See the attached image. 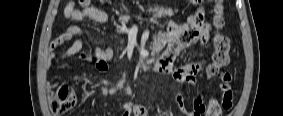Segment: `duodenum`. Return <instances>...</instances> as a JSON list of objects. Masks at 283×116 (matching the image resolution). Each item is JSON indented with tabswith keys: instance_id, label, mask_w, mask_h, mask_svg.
Instances as JSON below:
<instances>
[{
	"instance_id": "410a0bca",
	"label": "duodenum",
	"mask_w": 283,
	"mask_h": 116,
	"mask_svg": "<svg viewBox=\"0 0 283 116\" xmlns=\"http://www.w3.org/2000/svg\"><path fill=\"white\" fill-rule=\"evenodd\" d=\"M163 44H164V42L162 41V36H161V38L155 43L154 49H155V50L158 49V48L161 47ZM158 71H161V70L158 69Z\"/></svg>"
}]
</instances>
